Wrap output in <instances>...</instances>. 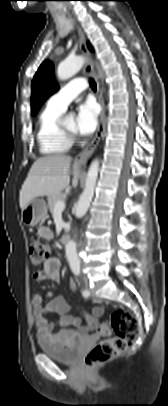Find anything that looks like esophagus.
Segmentation results:
<instances>
[{
	"mask_svg": "<svg viewBox=\"0 0 168 406\" xmlns=\"http://www.w3.org/2000/svg\"><path fill=\"white\" fill-rule=\"evenodd\" d=\"M76 27H77L78 35L80 38V49H81L82 53L88 58L86 65H85V71H86V73L91 75L93 77V79L95 80L96 87H97V99H98V102L100 103L101 109H102L101 115H100V121L98 124V128H97L95 137L75 158V161L78 164H85L87 162V160L90 158V156L93 154V152L95 151V149L101 139L103 129H104L106 107H105V102H104V98H103V93L100 88V84H99L97 75L94 71L92 60L90 59L91 54L86 45V38H85L84 32L78 25H76Z\"/></svg>",
	"mask_w": 168,
	"mask_h": 406,
	"instance_id": "obj_1",
	"label": "esophagus"
}]
</instances>
